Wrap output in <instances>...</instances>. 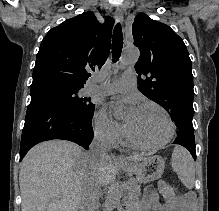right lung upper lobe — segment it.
I'll list each match as a JSON object with an SVG mask.
<instances>
[{
  "label": "right lung upper lobe",
  "instance_id": "cb5924a9",
  "mask_svg": "<svg viewBox=\"0 0 219 211\" xmlns=\"http://www.w3.org/2000/svg\"><path fill=\"white\" fill-rule=\"evenodd\" d=\"M113 23L84 12L52 28L37 54L31 92L51 84L82 88L87 71L100 69L109 55Z\"/></svg>",
  "mask_w": 219,
  "mask_h": 211
}]
</instances>
